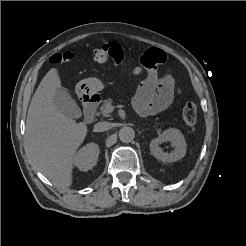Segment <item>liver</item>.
<instances>
[{"mask_svg": "<svg viewBox=\"0 0 246 246\" xmlns=\"http://www.w3.org/2000/svg\"><path fill=\"white\" fill-rule=\"evenodd\" d=\"M61 80L51 68L33 95L26 120V151L33 165L56 187L72 185L74 158L87 135L85 123L61 113L53 100Z\"/></svg>", "mask_w": 246, "mask_h": 246, "instance_id": "liver-1", "label": "liver"}]
</instances>
